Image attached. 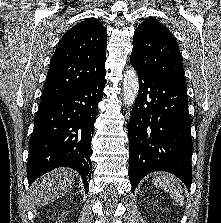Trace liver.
Masks as SVG:
<instances>
[{
	"instance_id": "1",
	"label": "liver",
	"mask_w": 221,
	"mask_h": 223,
	"mask_svg": "<svg viewBox=\"0 0 221 223\" xmlns=\"http://www.w3.org/2000/svg\"><path fill=\"white\" fill-rule=\"evenodd\" d=\"M75 182L74 174L67 168H58L38 179L30 188V196L37 207L53 202L66 194Z\"/></svg>"
}]
</instances>
